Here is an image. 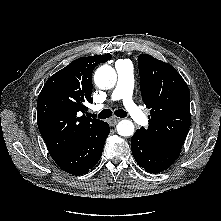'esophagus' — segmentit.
Masks as SVG:
<instances>
[{
    "instance_id": "34e87169",
    "label": "esophagus",
    "mask_w": 221,
    "mask_h": 221,
    "mask_svg": "<svg viewBox=\"0 0 221 221\" xmlns=\"http://www.w3.org/2000/svg\"><path fill=\"white\" fill-rule=\"evenodd\" d=\"M121 119L120 118H117V117H112L110 120H109V123L111 126H115Z\"/></svg>"
}]
</instances>
